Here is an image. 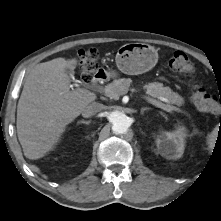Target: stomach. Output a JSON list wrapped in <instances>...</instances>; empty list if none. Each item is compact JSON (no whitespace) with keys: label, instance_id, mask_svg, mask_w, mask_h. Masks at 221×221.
<instances>
[{"label":"stomach","instance_id":"obj_1","mask_svg":"<svg viewBox=\"0 0 221 221\" xmlns=\"http://www.w3.org/2000/svg\"><path fill=\"white\" fill-rule=\"evenodd\" d=\"M117 68L128 75H139L151 70L158 61L154 47L143 43H128L116 54Z\"/></svg>","mask_w":221,"mask_h":221}]
</instances>
